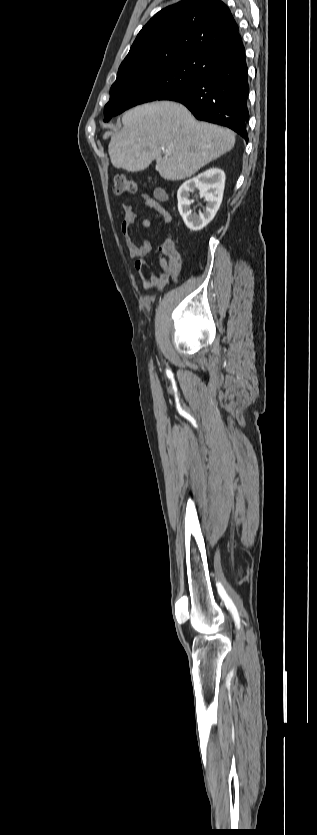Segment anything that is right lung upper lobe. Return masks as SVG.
Instances as JSON below:
<instances>
[{"label": "right lung upper lobe", "instance_id": "obj_1", "mask_svg": "<svg viewBox=\"0 0 317 835\" xmlns=\"http://www.w3.org/2000/svg\"><path fill=\"white\" fill-rule=\"evenodd\" d=\"M237 32V24L223 2L183 0L159 11L142 28L117 76L195 57L229 42Z\"/></svg>", "mask_w": 317, "mask_h": 835}]
</instances>
